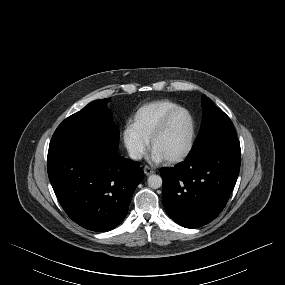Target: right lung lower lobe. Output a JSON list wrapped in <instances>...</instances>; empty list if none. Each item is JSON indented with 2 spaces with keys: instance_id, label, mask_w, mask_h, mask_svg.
<instances>
[{
  "instance_id": "1",
  "label": "right lung lower lobe",
  "mask_w": 285,
  "mask_h": 285,
  "mask_svg": "<svg viewBox=\"0 0 285 285\" xmlns=\"http://www.w3.org/2000/svg\"><path fill=\"white\" fill-rule=\"evenodd\" d=\"M48 176L74 222L106 232L124 220L144 173L138 162L125 159L116 148L71 141L49 147Z\"/></svg>"
}]
</instances>
